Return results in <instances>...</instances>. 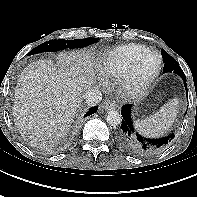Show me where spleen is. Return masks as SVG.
<instances>
[{"instance_id": "3e777b00", "label": "spleen", "mask_w": 197, "mask_h": 197, "mask_svg": "<svg viewBox=\"0 0 197 197\" xmlns=\"http://www.w3.org/2000/svg\"><path fill=\"white\" fill-rule=\"evenodd\" d=\"M178 114V99L173 98L164 104L158 112L145 119L135 121V127L144 135L159 137L173 125Z\"/></svg>"}]
</instances>
